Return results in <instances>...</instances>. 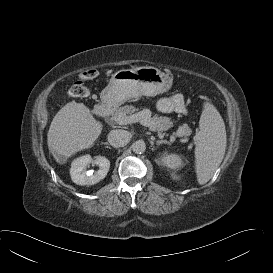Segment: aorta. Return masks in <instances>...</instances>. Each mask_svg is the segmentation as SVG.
<instances>
[{
    "instance_id": "obj_1",
    "label": "aorta",
    "mask_w": 273,
    "mask_h": 273,
    "mask_svg": "<svg viewBox=\"0 0 273 273\" xmlns=\"http://www.w3.org/2000/svg\"><path fill=\"white\" fill-rule=\"evenodd\" d=\"M131 148L134 153L142 154L146 150V144L143 140H138L131 145Z\"/></svg>"
}]
</instances>
